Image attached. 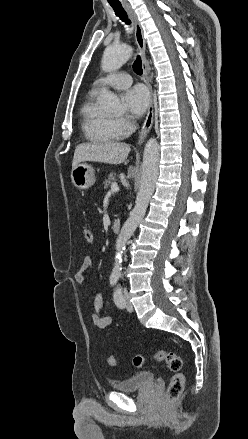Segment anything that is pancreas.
Here are the masks:
<instances>
[{
  "label": "pancreas",
  "mask_w": 248,
  "mask_h": 439,
  "mask_svg": "<svg viewBox=\"0 0 248 439\" xmlns=\"http://www.w3.org/2000/svg\"><path fill=\"white\" fill-rule=\"evenodd\" d=\"M115 179H116V173L111 172L107 176V179L104 181V185L108 186L111 183V181H115Z\"/></svg>",
  "instance_id": "cf45deb5"
}]
</instances>
